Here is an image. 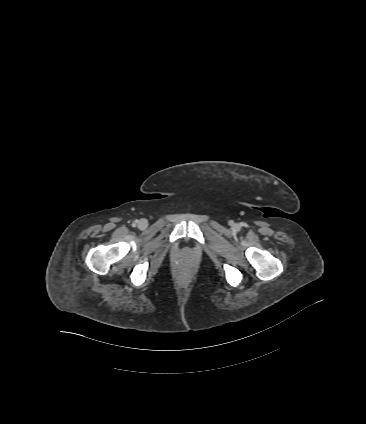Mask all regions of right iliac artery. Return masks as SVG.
Segmentation results:
<instances>
[{"label":"right iliac artery","mask_w":366,"mask_h":424,"mask_svg":"<svg viewBox=\"0 0 366 424\" xmlns=\"http://www.w3.org/2000/svg\"><path fill=\"white\" fill-rule=\"evenodd\" d=\"M137 223H138V221H135V222L133 223V226H135Z\"/></svg>","instance_id":"1"}]
</instances>
